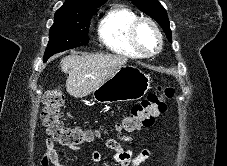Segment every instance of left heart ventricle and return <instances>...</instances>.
Returning a JSON list of instances; mask_svg holds the SVG:
<instances>
[{
	"label": "left heart ventricle",
	"instance_id": "obj_1",
	"mask_svg": "<svg viewBox=\"0 0 227 166\" xmlns=\"http://www.w3.org/2000/svg\"><path fill=\"white\" fill-rule=\"evenodd\" d=\"M137 39L145 51H153L158 43L156 34L146 23H142L138 26Z\"/></svg>",
	"mask_w": 227,
	"mask_h": 166
}]
</instances>
